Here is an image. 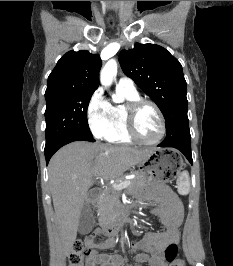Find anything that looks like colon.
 <instances>
[{
  "instance_id": "obj_1",
  "label": "colon",
  "mask_w": 233,
  "mask_h": 266,
  "mask_svg": "<svg viewBox=\"0 0 233 266\" xmlns=\"http://www.w3.org/2000/svg\"><path fill=\"white\" fill-rule=\"evenodd\" d=\"M98 232H95L84 239H79L75 242L74 248L69 255V266H84L83 259L90 252L91 243L95 241ZM165 259L169 266H185L184 261L177 257V247L175 244H170L165 249Z\"/></svg>"
}]
</instances>
